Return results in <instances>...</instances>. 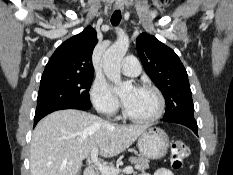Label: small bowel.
I'll use <instances>...</instances> for the list:
<instances>
[{"instance_id":"small-bowel-1","label":"small bowel","mask_w":233,"mask_h":175,"mask_svg":"<svg viewBox=\"0 0 233 175\" xmlns=\"http://www.w3.org/2000/svg\"><path fill=\"white\" fill-rule=\"evenodd\" d=\"M138 175H151V174L146 173V172H142ZM154 175H174V173L169 169L161 168V169L157 170Z\"/></svg>"}]
</instances>
